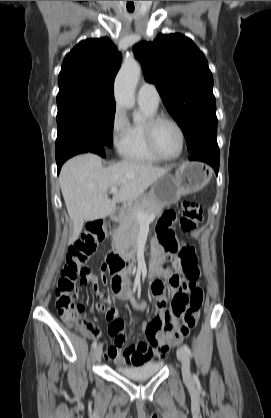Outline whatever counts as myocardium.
Listing matches in <instances>:
<instances>
[{"instance_id": "f54148a6", "label": "myocardium", "mask_w": 271, "mask_h": 418, "mask_svg": "<svg viewBox=\"0 0 271 418\" xmlns=\"http://www.w3.org/2000/svg\"><path fill=\"white\" fill-rule=\"evenodd\" d=\"M164 122L172 124L177 129L180 135V140H181L180 150L176 155H173V156L164 155L159 150L157 143H156L157 128L161 123H164ZM145 136H146V141H147L149 149L155 156H157L161 160H165V161L175 160L179 158L184 152L185 143H186V135H185L184 129L175 119L169 116H166L163 114H156L155 116L150 118L146 122V125H145Z\"/></svg>"}]
</instances>
